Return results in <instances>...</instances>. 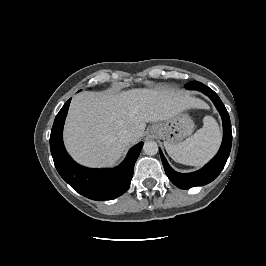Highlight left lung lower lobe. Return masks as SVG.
I'll use <instances>...</instances> for the list:
<instances>
[{
    "label": "left lung lower lobe",
    "mask_w": 266,
    "mask_h": 266,
    "mask_svg": "<svg viewBox=\"0 0 266 266\" xmlns=\"http://www.w3.org/2000/svg\"><path fill=\"white\" fill-rule=\"evenodd\" d=\"M185 88L201 91L213 101L223 121V141L218 153L209 163H207L199 171L187 174L174 171L166 161L161 149H159L168 178L174 185L181 189L203 186L213 181L224 168L232 145V132L229 114L218 95L212 89L197 81L191 82L186 85Z\"/></svg>",
    "instance_id": "1"
}]
</instances>
